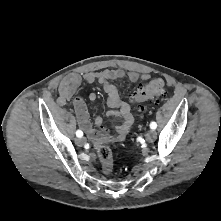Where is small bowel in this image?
Masks as SVG:
<instances>
[{
    "label": "small bowel",
    "mask_w": 221,
    "mask_h": 221,
    "mask_svg": "<svg viewBox=\"0 0 221 221\" xmlns=\"http://www.w3.org/2000/svg\"><path fill=\"white\" fill-rule=\"evenodd\" d=\"M124 78H127L131 82H137L139 80H147L149 75H140L134 71H124L119 68L105 69L97 72H86L82 75L72 73L67 75L60 83L58 103L65 105L67 101L73 99V106L79 126L92 139L95 146L121 142L135 124L136 119L131 113L129 104L121 99L118 89L112 83V81ZM82 80H85L89 84L97 82L103 87L107 95V106L109 108L107 115L110 118L120 121V123L116 125L113 134L104 127L103 119L100 115L95 118L94 124L97 129H94L89 120V113L85 102L79 97L73 98L76 87ZM85 93L91 101L96 100V88L93 85H88L85 88Z\"/></svg>",
    "instance_id": "obj_1"
}]
</instances>
